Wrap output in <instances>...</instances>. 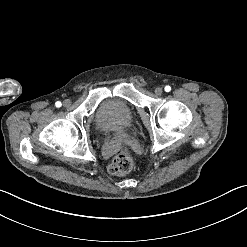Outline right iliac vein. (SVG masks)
<instances>
[{
  "label": "right iliac vein",
  "instance_id": "right-iliac-vein-1",
  "mask_svg": "<svg viewBox=\"0 0 247 247\" xmlns=\"http://www.w3.org/2000/svg\"><path fill=\"white\" fill-rule=\"evenodd\" d=\"M63 105H64L65 108H68L71 105V101L66 99V100L63 101Z\"/></svg>",
  "mask_w": 247,
  "mask_h": 247
}]
</instances>
